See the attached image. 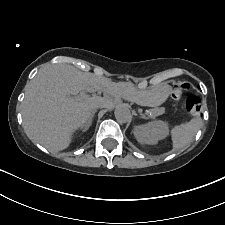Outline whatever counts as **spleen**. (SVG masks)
Segmentation results:
<instances>
[{
	"instance_id": "3e777b00",
	"label": "spleen",
	"mask_w": 225,
	"mask_h": 225,
	"mask_svg": "<svg viewBox=\"0 0 225 225\" xmlns=\"http://www.w3.org/2000/svg\"><path fill=\"white\" fill-rule=\"evenodd\" d=\"M202 124L201 118H193L187 123L177 125L171 129L173 151L186 147L191 143Z\"/></svg>"
}]
</instances>
